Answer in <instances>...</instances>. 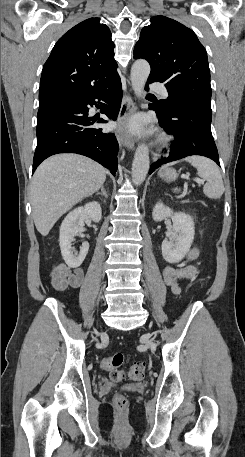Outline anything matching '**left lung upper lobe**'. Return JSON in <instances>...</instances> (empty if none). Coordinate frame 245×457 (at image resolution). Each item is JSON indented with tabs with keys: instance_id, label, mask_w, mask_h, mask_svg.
<instances>
[{
	"instance_id": "1",
	"label": "left lung upper lobe",
	"mask_w": 245,
	"mask_h": 457,
	"mask_svg": "<svg viewBox=\"0 0 245 457\" xmlns=\"http://www.w3.org/2000/svg\"><path fill=\"white\" fill-rule=\"evenodd\" d=\"M150 21L142 28L133 54L150 63L149 79L165 84L169 97L159 106L168 111L177 107L211 111L207 53L195 33L166 16Z\"/></svg>"
}]
</instances>
